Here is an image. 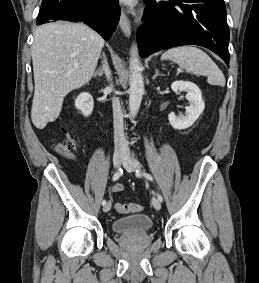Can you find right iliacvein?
Here are the masks:
<instances>
[{"label": "right iliac vein", "instance_id": "1", "mask_svg": "<svg viewBox=\"0 0 259 283\" xmlns=\"http://www.w3.org/2000/svg\"><path fill=\"white\" fill-rule=\"evenodd\" d=\"M124 155L121 152H115L113 156V164L115 168H119L121 165V162L123 160ZM111 209V201L107 202L104 207L103 211L108 212Z\"/></svg>", "mask_w": 259, "mask_h": 283}]
</instances>
